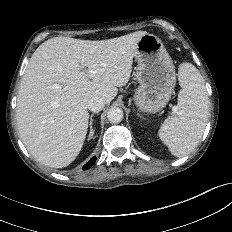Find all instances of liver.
I'll use <instances>...</instances> for the list:
<instances>
[{
  "instance_id": "liver-1",
  "label": "liver",
  "mask_w": 232,
  "mask_h": 232,
  "mask_svg": "<svg viewBox=\"0 0 232 232\" xmlns=\"http://www.w3.org/2000/svg\"><path fill=\"white\" fill-rule=\"evenodd\" d=\"M137 31L90 41L54 37L30 58L17 97V125L30 154L40 163L63 168L81 151L88 129V101L109 104L128 83L139 40Z\"/></svg>"
}]
</instances>
